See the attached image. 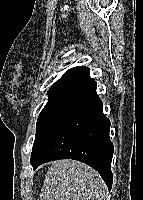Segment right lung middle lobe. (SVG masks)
<instances>
[{
  "mask_svg": "<svg viewBox=\"0 0 143 200\" xmlns=\"http://www.w3.org/2000/svg\"><path fill=\"white\" fill-rule=\"evenodd\" d=\"M61 80H59V81H57V82H55L53 85H52V87L49 89V91H48V95H50L60 84H61Z\"/></svg>",
  "mask_w": 143,
  "mask_h": 200,
  "instance_id": "dd1d6c3e",
  "label": "right lung middle lobe"
}]
</instances>
